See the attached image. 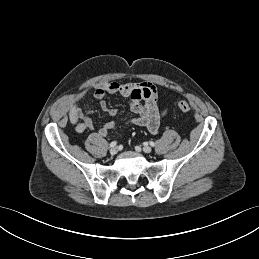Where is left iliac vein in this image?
Masks as SVG:
<instances>
[{
    "mask_svg": "<svg viewBox=\"0 0 259 259\" xmlns=\"http://www.w3.org/2000/svg\"><path fill=\"white\" fill-rule=\"evenodd\" d=\"M143 151H144L145 153H150V152L152 151V148H151L150 146H148V145H145V146L143 147Z\"/></svg>",
    "mask_w": 259,
    "mask_h": 259,
    "instance_id": "1",
    "label": "left iliac vein"
}]
</instances>
